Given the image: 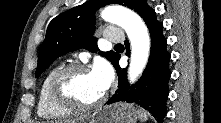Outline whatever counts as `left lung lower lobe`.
<instances>
[{
	"mask_svg": "<svg viewBox=\"0 0 221 123\" xmlns=\"http://www.w3.org/2000/svg\"><path fill=\"white\" fill-rule=\"evenodd\" d=\"M138 14L144 19L151 36L149 62L141 78L135 85L130 86L126 79L127 70L119 67L118 55L112 63L117 70L118 89L107 104L118 101L136 103L162 122L167 113L168 82L171 76L170 54L166 50L167 40L162 35L163 24L157 21L154 9L146 4ZM125 45L129 54L128 42H125Z\"/></svg>",
	"mask_w": 221,
	"mask_h": 123,
	"instance_id": "0a47b994",
	"label": "left lung lower lobe"
}]
</instances>
